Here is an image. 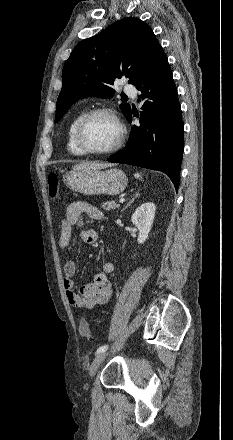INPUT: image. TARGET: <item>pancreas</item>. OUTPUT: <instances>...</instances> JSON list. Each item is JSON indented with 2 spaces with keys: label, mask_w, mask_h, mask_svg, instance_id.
I'll use <instances>...</instances> for the list:
<instances>
[{
  "label": "pancreas",
  "mask_w": 233,
  "mask_h": 440,
  "mask_svg": "<svg viewBox=\"0 0 233 440\" xmlns=\"http://www.w3.org/2000/svg\"><path fill=\"white\" fill-rule=\"evenodd\" d=\"M120 205L117 204L115 201H107L105 203L102 204V208L106 211H111V210H115L116 208H118Z\"/></svg>",
  "instance_id": "obj_1"
}]
</instances>
